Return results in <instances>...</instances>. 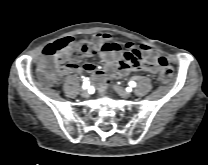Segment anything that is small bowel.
<instances>
[{
    "mask_svg": "<svg viewBox=\"0 0 208 165\" xmlns=\"http://www.w3.org/2000/svg\"><path fill=\"white\" fill-rule=\"evenodd\" d=\"M90 43L94 50L86 56L99 54L105 62L103 69H99L92 63H84L78 65L73 61H64L58 64L60 73H82L88 72L93 75L94 81L109 85L112 77L126 75L130 72L144 71L149 74L157 73V65L155 62L141 61V57L156 59V51L147 45H134L126 43L123 45L112 39L108 32L100 31L92 35ZM126 54H131L132 59H127Z\"/></svg>",
    "mask_w": 208,
    "mask_h": 165,
    "instance_id": "small-bowel-1",
    "label": "small bowel"
}]
</instances>
